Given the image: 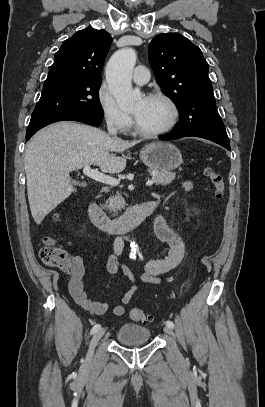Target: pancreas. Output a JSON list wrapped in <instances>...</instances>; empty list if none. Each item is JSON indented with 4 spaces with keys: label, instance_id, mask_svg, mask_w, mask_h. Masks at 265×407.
I'll use <instances>...</instances> for the list:
<instances>
[{
    "label": "pancreas",
    "instance_id": "1",
    "mask_svg": "<svg viewBox=\"0 0 265 407\" xmlns=\"http://www.w3.org/2000/svg\"><path fill=\"white\" fill-rule=\"evenodd\" d=\"M175 173L162 170H153L152 180L156 185H168L175 179ZM125 205V201L122 196L117 192L115 196H112L106 202L105 207L110 211L117 212L121 210Z\"/></svg>",
    "mask_w": 265,
    "mask_h": 407
}]
</instances>
